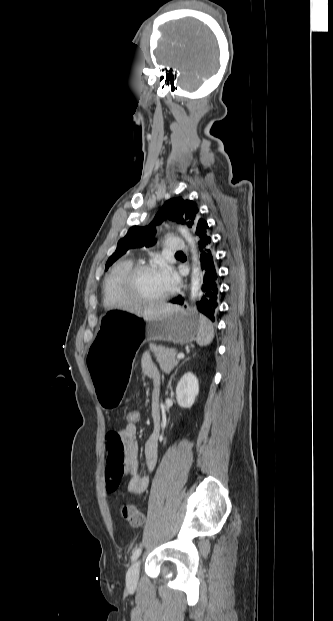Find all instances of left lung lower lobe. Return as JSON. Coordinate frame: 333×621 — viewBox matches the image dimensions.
Masks as SVG:
<instances>
[{"instance_id":"obj_1","label":"left lung lower lobe","mask_w":333,"mask_h":621,"mask_svg":"<svg viewBox=\"0 0 333 621\" xmlns=\"http://www.w3.org/2000/svg\"><path fill=\"white\" fill-rule=\"evenodd\" d=\"M208 224L196 230L197 243L201 252V277L202 286L201 300L197 303L198 310L206 315L212 321L215 320V315L219 306V283H218V269L216 256L212 248V240L208 231ZM184 298L179 295L171 300V303L182 305Z\"/></svg>"}]
</instances>
